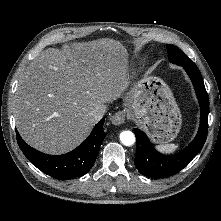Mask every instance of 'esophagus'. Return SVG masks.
<instances>
[{
  "mask_svg": "<svg viewBox=\"0 0 221 221\" xmlns=\"http://www.w3.org/2000/svg\"><path fill=\"white\" fill-rule=\"evenodd\" d=\"M125 119H126V112L118 111L111 117V122L114 125H121L125 122Z\"/></svg>",
  "mask_w": 221,
  "mask_h": 221,
  "instance_id": "1",
  "label": "esophagus"
}]
</instances>
